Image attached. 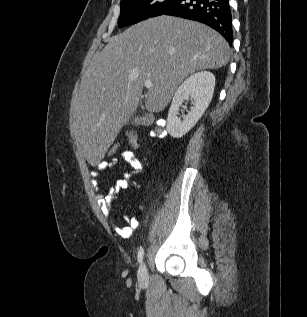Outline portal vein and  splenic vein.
<instances>
[{
	"instance_id": "18ae733b",
	"label": "portal vein and splenic vein",
	"mask_w": 307,
	"mask_h": 317,
	"mask_svg": "<svg viewBox=\"0 0 307 317\" xmlns=\"http://www.w3.org/2000/svg\"><path fill=\"white\" fill-rule=\"evenodd\" d=\"M144 85H145V87H146L147 89H149V88L152 87V82H151L150 80H146V81L144 82Z\"/></svg>"
}]
</instances>
